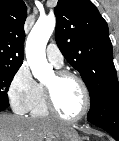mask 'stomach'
Listing matches in <instances>:
<instances>
[{"label": "stomach", "mask_w": 119, "mask_h": 141, "mask_svg": "<svg viewBox=\"0 0 119 141\" xmlns=\"http://www.w3.org/2000/svg\"><path fill=\"white\" fill-rule=\"evenodd\" d=\"M46 141H82L77 131L70 126L52 132L46 137Z\"/></svg>", "instance_id": "stomach-1"}]
</instances>
